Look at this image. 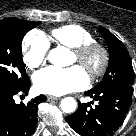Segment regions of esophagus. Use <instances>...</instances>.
<instances>
[{
	"instance_id": "1",
	"label": "esophagus",
	"mask_w": 136,
	"mask_h": 136,
	"mask_svg": "<svg viewBox=\"0 0 136 136\" xmlns=\"http://www.w3.org/2000/svg\"><path fill=\"white\" fill-rule=\"evenodd\" d=\"M47 100H48V101H57V100H60V98H59V97H54V96L48 95V96H47Z\"/></svg>"
}]
</instances>
